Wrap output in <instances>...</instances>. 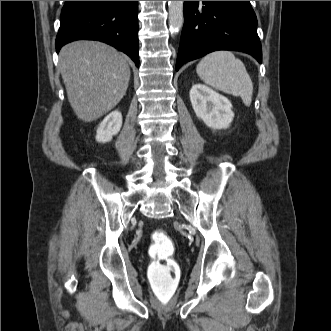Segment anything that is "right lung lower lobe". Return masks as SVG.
<instances>
[{"label":"right lung lower lobe","mask_w":331,"mask_h":331,"mask_svg":"<svg viewBox=\"0 0 331 331\" xmlns=\"http://www.w3.org/2000/svg\"><path fill=\"white\" fill-rule=\"evenodd\" d=\"M138 1H65L56 51L75 40L105 42L139 66Z\"/></svg>","instance_id":"1"}]
</instances>
